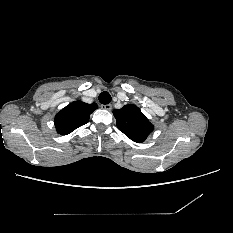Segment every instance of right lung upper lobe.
<instances>
[{
    "label": "right lung upper lobe",
    "mask_w": 233,
    "mask_h": 233,
    "mask_svg": "<svg viewBox=\"0 0 233 233\" xmlns=\"http://www.w3.org/2000/svg\"><path fill=\"white\" fill-rule=\"evenodd\" d=\"M98 108L96 103L87 104L75 101L64 107L55 116V127L60 135H67L76 128L86 124L90 114Z\"/></svg>",
    "instance_id": "obj_1"
}]
</instances>
